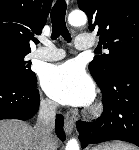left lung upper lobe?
Segmentation results:
<instances>
[{
  "label": "left lung upper lobe",
  "instance_id": "left-lung-upper-lobe-1",
  "mask_svg": "<svg viewBox=\"0 0 139 150\" xmlns=\"http://www.w3.org/2000/svg\"><path fill=\"white\" fill-rule=\"evenodd\" d=\"M89 19V29L109 54L94 57L89 70L100 88H106L119 67L139 55V0H77Z\"/></svg>",
  "mask_w": 139,
  "mask_h": 150
}]
</instances>
